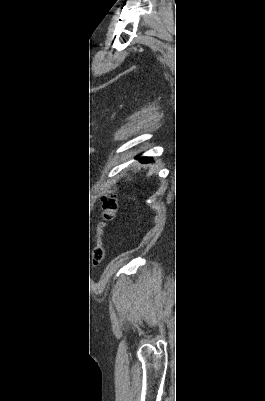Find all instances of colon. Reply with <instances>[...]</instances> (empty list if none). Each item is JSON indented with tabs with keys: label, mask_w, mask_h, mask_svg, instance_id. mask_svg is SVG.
Returning <instances> with one entry per match:
<instances>
[{
	"label": "colon",
	"mask_w": 265,
	"mask_h": 401,
	"mask_svg": "<svg viewBox=\"0 0 265 401\" xmlns=\"http://www.w3.org/2000/svg\"><path fill=\"white\" fill-rule=\"evenodd\" d=\"M101 205L105 217L112 219L117 210V197L115 194H106L101 199ZM104 257L103 247H97L93 252L92 264L94 267L100 265Z\"/></svg>",
	"instance_id": "1"
}]
</instances>
